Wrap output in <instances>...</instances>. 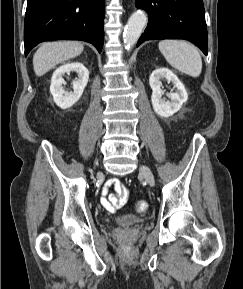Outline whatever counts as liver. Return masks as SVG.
<instances>
[{
    "label": "liver",
    "mask_w": 243,
    "mask_h": 289,
    "mask_svg": "<svg viewBox=\"0 0 243 289\" xmlns=\"http://www.w3.org/2000/svg\"><path fill=\"white\" fill-rule=\"evenodd\" d=\"M84 45L77 41H55L43 43L33 56V68L42 76L57 64L80 55Z\"/></svg>",
    "instance_id": "6515ba94"
}]
</instances>
